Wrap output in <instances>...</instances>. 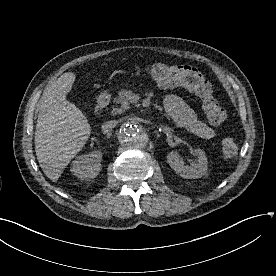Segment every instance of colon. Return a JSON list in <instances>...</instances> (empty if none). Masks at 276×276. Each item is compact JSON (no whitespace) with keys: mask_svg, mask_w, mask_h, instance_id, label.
Here are the masks:
<instances>
[{"mask_svg":"<svg viewBox=\"0 0 276 276\" xmlns=\"http://www.w3.org/2000/svg\"><path fill=\"white\" fill-rule=\"evenodd\" d=\"M146 73L162 87L181 86L193 92L202 101L204 113L211 124L220 125L226 120V110L214 97L211 83L196 67L156 63L146 67ZM238 152L239 145L235 139L231 137L223 139L221 143L223 158L232 159Z\"/></svg>","mask_w":276,"mask_h":276,"instance_id":"colon-1","label":"colon"}]
</instances>
